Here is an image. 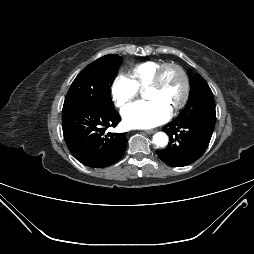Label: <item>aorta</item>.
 Segmentation results:
<instances>
[{
    "label": "aorta",
    "mask_w": 254,
    "mask_h": 254,
    "mask_svg": "<svg viewBox=\"0 0 254 254\" xmlns=\"http://www.w3.org/2000/svg\"><path fill=\"white\" fill-rule=\"evenodd\" d=\"M153 143L158 147H165L168 144V136L164 132H158L153 136Z\"/></svg>",
    "instance_id": "aorta-1"
}]
</instances>
